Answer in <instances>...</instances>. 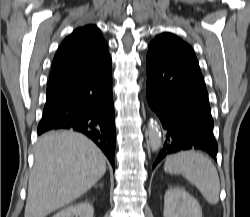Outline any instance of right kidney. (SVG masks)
<instances>
[{
	"mask_svg": "<svg viewBox=\"0 0 250 217\" xmlns=\"http://www.w3.org/2000/svg\"><path fill=\"white\" fill-rule=\"evenodd\" d=\"M94 208L89 202H81L59 211L52 217H93Z\"/></svg>",
	"mask_w": 250,
	"mask_h": 217,
	"instance_id": "ca27d5eb",
	"label": "right kidney"
}]
</instances>
